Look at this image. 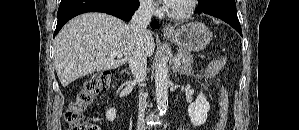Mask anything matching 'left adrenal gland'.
<instances>
[{
    "mask_svg": "<svg viewBox=\"0 0 299 130\" xmlns=\"http://www.w3.org/2000/svg\"><path fill=\"white\" fill-rule=\"evenodd\" d=\"M173 71L174 73L178 72L179 74H184V71L180 69L177 65L174 66Z\"/></svg>",
    "mask_w": 299,
    "mask_h": 130,
    "instance_id": "left-adrenal-gland-1",
    "label": "left adrenal gland"
}]
</instances>
